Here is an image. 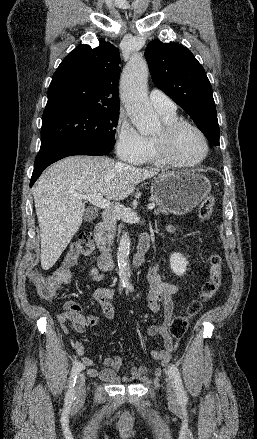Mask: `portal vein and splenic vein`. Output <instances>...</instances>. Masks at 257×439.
Segmentation results:
<instances>
[{
  "label": "portal vein and splenic vein",
  "mask_w": 257,
  "mask_h": 439,
  "mask_svg": "<svg viewBox=\"0 0 257 439\" xmlns=\"http://www.w3.org/2000/svg\"><path fill=\"white\" fill-rule=\"evenodd\" d=\"M71 197L77 198V199H83L87 200L93 205L102 208V209H110L111 203L110 201L103 198L101 194L95 193V194H72ZM155 207V203H149L147 208L148 210H152Z\"/></svg>",
  "instance_id": "18ae733b"
}]
</instances>
